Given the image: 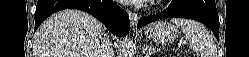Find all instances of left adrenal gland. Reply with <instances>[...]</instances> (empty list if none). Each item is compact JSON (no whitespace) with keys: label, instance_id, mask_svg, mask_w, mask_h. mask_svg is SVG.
I'll return each mask as SVG.
<instances>
[{"label":"left adrenal gland","instance_id":"obj_1","mask_svg":"<svg viewBox=\"0 0 249 57\" xmlns=\"http://www.w3.org/2000/svg\"><path fill=\"white\" fill-rule=\"evenodd\" d=\"M155 52H156V49L152 48V46H150V45H146L143 48V53L146 55L145 57H150Z\"/></svg>","mask_w":249,"mask_h":57}]
</instances>
